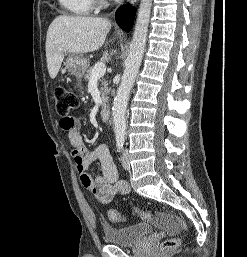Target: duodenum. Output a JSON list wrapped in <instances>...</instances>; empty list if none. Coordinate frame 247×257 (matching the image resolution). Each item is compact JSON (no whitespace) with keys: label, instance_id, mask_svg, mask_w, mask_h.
<instances>
[{"label":"duodenum","instance_id":"410a0bca","mask_svg":"<svg viewBox=\"0 0 247 257\" xmlns=\"http://www.w3.org/2000/svg\"><path fill=\"white\" fill-rule=\"evenodd\" d=\"M100 114L104 121H108L111 116V110L107 105H104L100 109Z\"/></svg>","mask_w":247,"mask_h":257}]
</instances>
